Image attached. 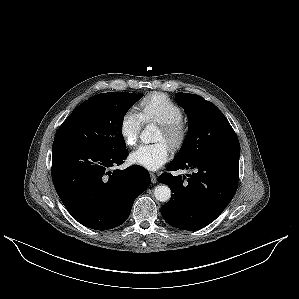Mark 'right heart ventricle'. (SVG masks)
<instances>
[{
  "label": "right heart ventricle",
  "instance_id": "right-heart-ventricle-1",
  "mask_svg": "<svg viewBox=\"0 0 299 299\" xmlns=\"http://www.w3.org/2000/svg\"><path fill=\"white\" fill-rule=\"evenodd\" d=\"M139 114L145 122L167 123L182 120L183 110L164 93H152L139 104Z\"/></svg>",
  "mask_w": 299,
  "mask_h": 299
}]
</instances>
